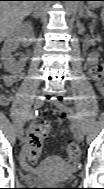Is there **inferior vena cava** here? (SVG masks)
<instances>
[{
  "label": "inferior vena cava",
  "instance_id": "1",
  "mask_svg": "<svg viewBox=\"0 0 104 189\" xmlns=\"http://www.w3.org/2000/svg\"><path fill=\"white\" fill-rule=\"evenodd\" d=\"M44 7H45V2L43 1H38L36 2L33 12L35 16H40L44 13Z\"/></svg>",
  "mask_w": 104,
  "mask_h": 189
}]
</instances>
